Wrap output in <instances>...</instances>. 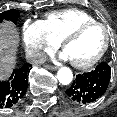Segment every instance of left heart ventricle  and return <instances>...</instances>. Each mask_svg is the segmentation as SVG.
Listing matches in <instances>:
<instances>
[{"instance_id":"1","label":"left heart ventricle","mask_w":117,"mask_h":117,"mask_svg":"<svg viewBox=\"0 0 117 117\" xmlns=\"http://www.w3.org/2000/svg\"><path fill=\"white\" fill-rule=\"evenodd\" d=\"M105 42V31L101 27H91L78 38L67 44L65 52L71 61L87 62L95 57Z\"/></svg>"}]
</instances>
